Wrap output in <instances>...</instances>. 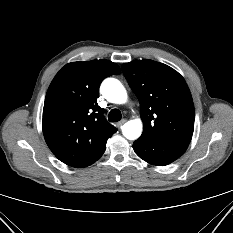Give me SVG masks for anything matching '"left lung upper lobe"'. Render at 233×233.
I'll use <instances>...</instances> for the list:
<instances>
[{"label":"left lung upper lobe","mask_w":233,"mask_h":233,"mask_svg":"<svg viewBox=\"0 0 233 233\" xmlns=\"http://www.w3.org/2000/svg\"><path fill=\"white\" fill-rule=\"evenodd\" d=\"M122 71L141 107L140 138L189 145L194 130V105L184 78L153 61L125 63Z\"/></svg>","instance_id":"5c2ea615"}]
</instances>
